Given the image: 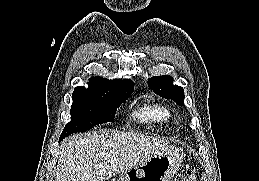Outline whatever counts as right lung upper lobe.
<instances>
[{
    "instance_id": "obj_1",
    "label": "right lung upper lobe",
    "mask_w": 259,
    "mask_h": 181,
    "mask_svg": "<svg viewBox=\"0 0 259 181\" xmlns=\"http://www.w3.org/2000/svg\"><path fill=\"white\" fill-rule=\"evenodd\" d=\"M89 87H76L73 94H86L102 97H126L133 91V82L129 79H105L92 77L89 79Z\"/></svg>"
}]
</instances>
